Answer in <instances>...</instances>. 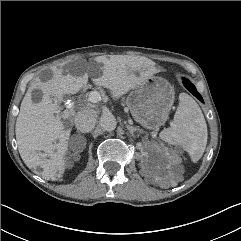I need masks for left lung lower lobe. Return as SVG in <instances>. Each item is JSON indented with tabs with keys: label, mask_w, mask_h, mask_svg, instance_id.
Listing matches in <instances>:
<instances>
[{
	"label": "left lung lower lobe",
	"mask_w": 241,
	"mask_h": 241,
	"mask_svg": "<svg viewBox=\"0 0 241 241\" xmlns=\"http://www.w3.org/2000/svg\"><path fill=\"white\" fill-rule=\"evenodd\" d=\"M185 87L195 96L197 97L200 101H202V97L200 94L197 92L196 88L194 87L193 84H191L188 80L183 81Z\"/></svg>",
	"instance_id": "0a47b994"
}]
</instances>
